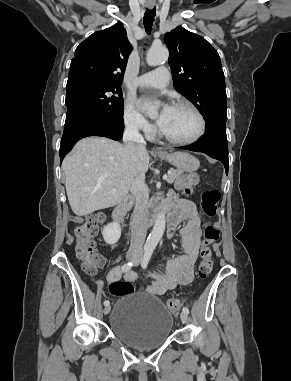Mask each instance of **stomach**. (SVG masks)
Returning <instances> with one entry per match:
<instances>
[{
  "label": "stomach",
  "instance_id": "0dacf381",
  "mask_svg": "<svg viewBox=\"0 0 291 381\" xmlns=\"http://www.w3.org/2000/svg\"><path fill=\"white\" fill-rule=\"evenodd\" d=\"M159 157L176 166L178 170L189 173L196 171L200 166L199 160L187 152L161 153Z\"/></svg>",
  "mask_w": 291,
  "mask_h": 381
}]
</instances>
